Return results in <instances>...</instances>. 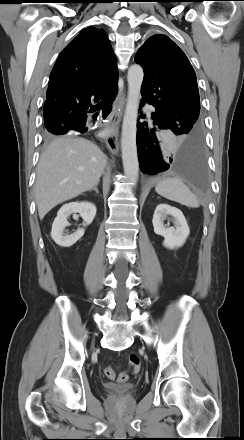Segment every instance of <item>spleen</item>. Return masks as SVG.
I'll return each instance as SVG.
<instances>
[{
	"mask_svg": "<svg viewBox=\"0 0 244 440\" xmlns=\"http://www.w3.org/2000/svg\"><path fill=\"white\" fill-rule=\"evenodd\" d=\"M155 191L162 197L191 208H198L197 197L179 178H165L156 184Z\"/></svg>",
	"mask_w": 244,
	"mask_h": 440,
	"instance_id": "3e777b00",
	"label": "spleen"
}]
</instances>
